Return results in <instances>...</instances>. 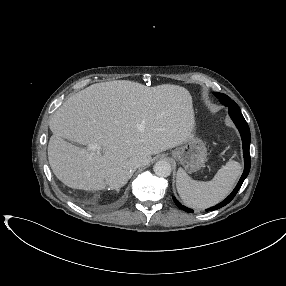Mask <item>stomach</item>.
Wrapping results in <instances>:
<instances>
[{
    "label": "stomach",
    "mask_w": 286,
    "mask_h": 286,
    "mask_svg": "<svg viewBox=\"0 0 286 286\" xmlns=\"http://www.w3.org/2000/svg\"><path fill=\"white\" fill-rule=\"evenodd\" d=\"M172 156L187 172L193 173L204 166L207 157V148L201 139L193 137L177 147L172 152Z\"/></svg>",
    "instance_id": "obj_1"
}]
</instances>
